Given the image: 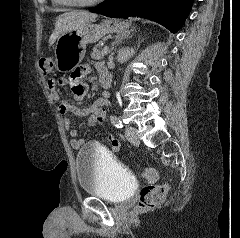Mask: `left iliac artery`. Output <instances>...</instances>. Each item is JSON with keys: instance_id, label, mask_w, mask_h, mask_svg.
<instances>
[{"instance_id": "44dca946", "label": "left iliac artery", "mask_w": 240, "mask_h": 238, "mask_svg": "<svg viewBox=\"0 0 240 238\" xmlns=\"http://www.w3.org/2000/svg\"><path fill=\"white\" fill-rule=\"evenodd\" d=\"M111 123H112L116 128H120V129H121V128L124 127L122 121H121L118 117H116V116H112V117H111Z\"/></svg>"}]
</instances>
